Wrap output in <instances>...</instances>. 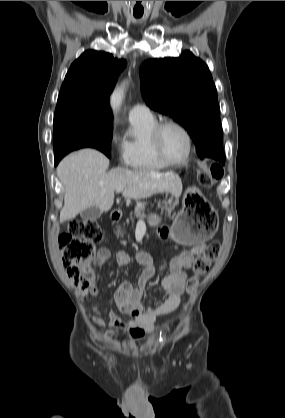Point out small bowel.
<instances>
[{
    "label": "small bowel",
    "instance_id": "small-bowel-1",
    "mask_svg": "<svg viewBox=\"0 0 285 418\" xmlns=\"http://www.w3.org/2000/svg\"><path fill=\"white\" fill-rule=\"evenodd\" d=\"M201 250L202 246L198 245L172 258L170 264L171 271L159 284V289L165 293L164 301L157 307L153 305L145 307L142 303L143 291L156 272L150 255L140 253L132 259L124 252L117 253L116 262L119 267H127L134 261L142 266V272L136 287L132 286L129 281H124L119 285L115 293L116 305L120 313L126 318L110 313L109 320L106 322L100 316H94L93 321L95 325L99 327L108 326L119 331H125L132 339H140L155 331L157 329L156 319L159 316L172 313L180 305L182 295L185 292V273L191 268L195 256ZM110 257L111 251L103 247L96 252L92 258V263L94 266L100 267ZM83 292L91 295L97 294L94 286Z\"/></svg>",
    "mask_w": 285,
    "mask_h": 418
}]
</instances>
